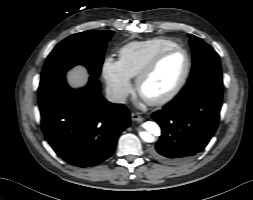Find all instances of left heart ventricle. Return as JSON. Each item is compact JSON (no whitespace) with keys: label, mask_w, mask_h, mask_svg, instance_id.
<instances>
[{"label":"left heart ventricle","mask_w":253,"mask_h":200,"mask_svg":"<svg viewBox=\"0 0 253 200\" xmlns=\"http://www.w3.org/2000/svg\"><path fill=\"white\" fill-rule=\"evenodd\" d=\"M185 68V55L179 51L170 53L143 81L140 87L141 96L147 100H152L166 95L179 82Z\"/></svg>","instance_id":"b2bd125f"}]
</instances>
